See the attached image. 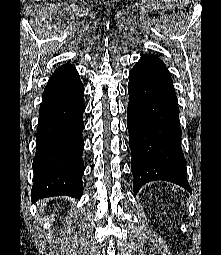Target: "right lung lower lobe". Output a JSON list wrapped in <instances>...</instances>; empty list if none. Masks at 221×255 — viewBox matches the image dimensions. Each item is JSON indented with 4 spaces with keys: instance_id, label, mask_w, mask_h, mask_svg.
Returning <instances> with one entry per match:
<instances>
[{
    "instance_id": "right-lung-lower-lobe-1",
    "label": "right lung lower lobe",
    "mask_w": 221,
    "mask_h": 255,
    "mask_svg": "<svg viewBox=\"0 0 221 255\" xmlns=\"http://www.w3.org/2000/svg\"><path fill=\"white\" fill-rule=\"evenodd\" d=\"M84 86L70 64L60 66L44 89L33 161L31 198L83 194Z\"/></svg>"
}]
</instances>
